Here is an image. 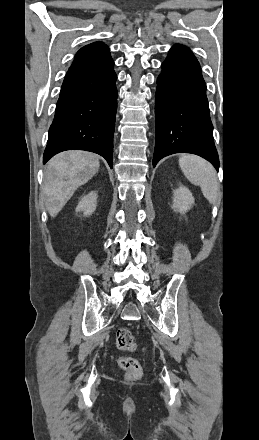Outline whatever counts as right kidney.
<instances>
[{
    "mask_svg": "<svg viewBox=\"0 0 259 440\" xmlns=\"http://www.w3.org/2000/svg\"><path fill=\"white\" fill-rule=\"evenodd\" d=\"M97 205V193L91 191L87 195L83 196L79 201L76 212H83L84 216L91 215L96 210Z\"/></svg>",
    "mask_w": 259,
    "mask_h": 440,
    "instance_id": "1",
    "label": "right kidney"
}]
</instances>
